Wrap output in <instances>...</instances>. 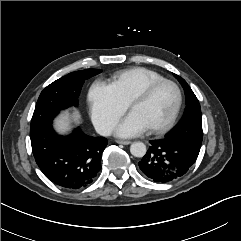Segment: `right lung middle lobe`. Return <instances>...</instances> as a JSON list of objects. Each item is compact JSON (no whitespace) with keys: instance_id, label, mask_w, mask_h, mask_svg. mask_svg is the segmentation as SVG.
<instances>
[{"instance_id":"1","label":"right lung middle lobe","mask_w":241,"mask_h":241,"mask_svg":"<svg viewBox=\"0 0 241 241\" xmlns=\"http://www.w3.org/2000/svg\"><path fill=\"white\" fill-rule=\"evenodd\" d=\"M100 69L72 72L47 86L40 94L32 116L30 135L52 122L53 118L69 106H77L81 87L86 79L99 74Z\"/></svg>"}]
</instances>
